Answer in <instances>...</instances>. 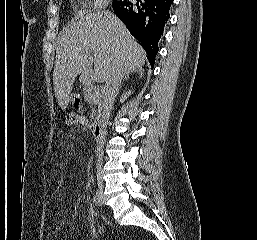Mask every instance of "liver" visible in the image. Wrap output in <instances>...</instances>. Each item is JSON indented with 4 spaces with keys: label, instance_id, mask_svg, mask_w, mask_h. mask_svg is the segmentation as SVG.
<instances>
[{
    "label": "liver",
    "instance_id": "obj_1",
    "mask_svg": "<svg viewBox=\"0 0 257 240\" xmlns=\"http://www.w3.org/2000/svg\"><path fill=\"white\" fill-rule=\"evenodd\" d=\"M116 56L123 72L141 69L147 59L144 50L113 13L79 11L78 20L64 29L56 48L53 83L60 107H67L77 75L81 74L82 82L89 81V74L91 79L104 82Z\"/></svg>",
    "mask_w": 257,
    "mask_h": 240
}]
</instances>
